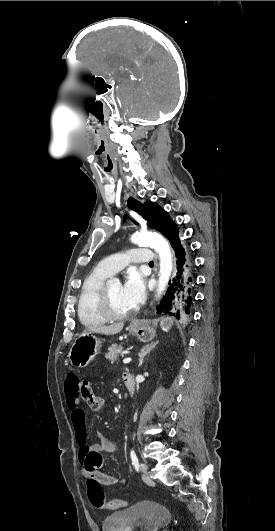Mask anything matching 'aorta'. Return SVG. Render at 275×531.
<instances>
[{
    "label": "aorta",
    "mask_w": 275,
    "mask_h": 531,
    "mask_svg": "<svg viewBox=\"0 0 275 531\" xmlns=\"http://www.w3.org/2000/svg\"><path fill=\"white\" fill-rule=\"evenodd\" d=\"M139 239H144V241H147V243H149V245H151V247H153V249H155L156 253L159 255L160 273L157 285V297H161L162 293L166 291V287L173 269L171 247L168 241L163 239L161 235L148 233V231H145V233H138V235H132L131 241L136 243V241H139ZM108 285L111 287V289H114V287H119L120 281L119 279H110V281H108Z\"/></svg>",
    "instance_id": "aorta-1"
}]
</instances>
